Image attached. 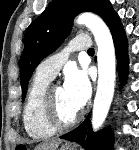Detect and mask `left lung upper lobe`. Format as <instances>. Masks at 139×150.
I'll return each mask as SVG.
<instances>
[{
	"mask_svg": "<svg viewBox=\"0 0 139 150\" xmlns=\"http://www.w3.org/2000/svg\"><path fill=\"white\" fill-rule=\"evenodd\" d=\"M112 9L108 0H54L27 28L24 50L19 60L22 101L28 81L37 65L55 51L68 36L73 18L81 12H94L103 20Z\"/></svg>",
	"mask_w": 139,
	"mask_h": 150,
	"instance_id": "obj_1",
	"label": "left lung upper lobe"
}]
</instances>
